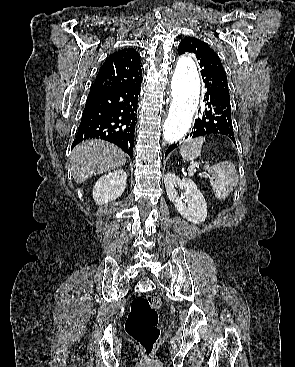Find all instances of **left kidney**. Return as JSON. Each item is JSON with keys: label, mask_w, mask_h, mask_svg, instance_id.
<instances>
[{"label": "left kidney", "mask_w": 295, "mask_h": 367, "mask_svg": "<svg viewBox=\"0 0 295 367\" xmlns=\"http://www.w3.org/2000/svg\"><path fill=\"white\" fill-rule=\"evenodd\" d=\"M164 184L169 200L175 205L181 216L195 224L205 221L207 203L191 179H180L175 174L168 173L164 177ZM177 187L185 189L181 197L178 196Z\"/></svg>", "instance_id": "obj_1"}]
</instances>
